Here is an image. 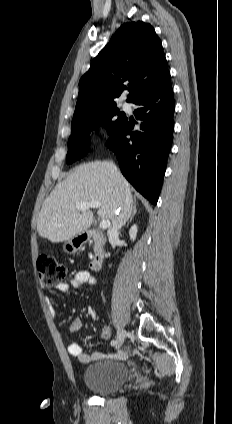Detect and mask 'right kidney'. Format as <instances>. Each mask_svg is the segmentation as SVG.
<instances>
[{
	"instance_id": "right-kidney-1",
	"label": "right kidney",
	"mask_w": 232,
	"mask_h": 424,
	"mask_svg": "<svg viewBox=\"0 0 232 424\" xmlns=\"http://www.w3.org/2000/svg\"><path fill=\"white\" fill-rule=\"evenodd\" d=\"M137 225H133L131 228H130V230H129V235H130V239L132 240V241H134L135 239H136V236H137Z\"/></svg>"
}]
</instances>
